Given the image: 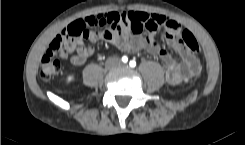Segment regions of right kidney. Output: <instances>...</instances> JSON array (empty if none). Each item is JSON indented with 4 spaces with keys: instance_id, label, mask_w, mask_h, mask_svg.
I'll return each instance as SVG.
<instances>
[{
    "instance_id": "right-kidney-1",
    "label": "right kidney",
    "mask_w": 245,
    "mask_h": 145,
    "mask_svg": "<svg viewBox=\"0 0 245 145\" xmlns=\"http://www.w3.org/2000/svg\"><path fill=\"white\" fill-rule=\"evenodd\" d=\"M74 79H75V75H74V74H69V75L66 77V81H67L68 83L72 82Z\"/></svg>"
}]
</instances>
